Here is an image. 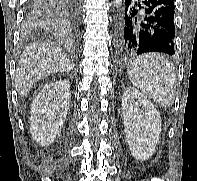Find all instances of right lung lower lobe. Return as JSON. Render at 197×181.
I'll list each match as a JSON object with an SVG mask.
<instances>
[{
    "mask_svg": "<svg viewBox=\"0 0 197 181\" xmlns=\"http://www.w3.org/2000/svg\"><path fill=\"white\" fill-rule=\"evenodd\" d=\"M80 5L81 0H28L26 24L73 39L79 27Z\"/></svg>",
    "mask_w": 197,
    "mask_h": 181,
    "instance_id": "98d812e1",
    "label": "right lung lower lobe"
}]
</instances>
